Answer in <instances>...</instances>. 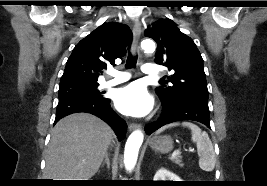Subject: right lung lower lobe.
Wrapping results in <instances>:
<instances>
[{"label": "right lung lower lobe", "instance_id": "1", "mask_svg": "<svg viewBox=\"0 0 267 186\" xmlns=\"http://www.w3.org/2000/svg\"><path fill=\"white\" fill-rule=\"evenodd\" d=\"M78 112L93 114L107 122L119 140L126 135L127 124L112 110L107 98H94L86 95H69L59 98L55 123L61 118Z\"/></svg>", "mask_w": 267, "mask_h": 186}]
</instances>
